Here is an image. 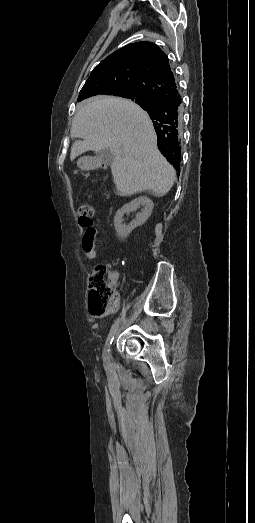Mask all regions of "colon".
<instances>
[{
    "instance_id": "5ec220e1",
    "label": "colon",
    "mask_w": 255,
    "mask_h": 523,
    "mask_svg": "<svg viewBox=\"0 0 255 523\" xmlns=\"http://www.w3.org/2000/svg\"><path fill=\"white\" fill-rule=\"evenodd\" d=\"M79 222L88 225L94 214L93 207L83 204L78 207ZM109 265H97L89 279V308L93 316L109 314L115 310L118 304L116 292V280Z\"/></svg>"
}]
</instances>
